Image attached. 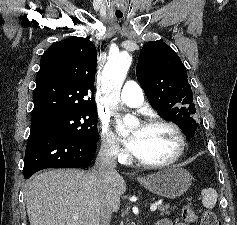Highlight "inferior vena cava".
I'll list each match as a JSON object with an SVG mask.
<instances>
[{"label": "inferior vena cava", "mask_w": 237, "mask_h": 225, "mask_svg": "<svg viewBox=\"0 0 237 225\" xmlns=\"http://www.w3.org/2000/svg\"><path fill=\"white\" fill-rule=\"evenodd\" d=\"M117 146L114 143H103L93 167V175L99 181L101 191L105 184L111 182L116 176ZM100 223L110 225L113 210L108 202L101 205Z\"/></svg>", "instance_id": "inferior-vena-cava-1"}]
</instances>
